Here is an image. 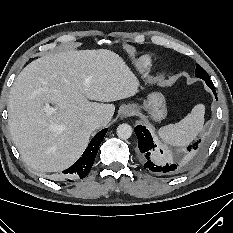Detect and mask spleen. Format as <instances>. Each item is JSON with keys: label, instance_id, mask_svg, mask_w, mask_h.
<instances>
[{"label": "spleen", "instance_id": "1", "mask_svg": "<svg viewBox=\"0 0 233 233\" xmlns=\"http://www.w3.org/2000/svg\"><path fill=\"white\" fill-rule=\"evenodd\" d=\"M205 106L197 104L184 119L159 129L160 138L166 143L183 147L191 143L203 130Z\"/></svg>", "mask_w": 233, "mask_h": 233}]
</instances>
